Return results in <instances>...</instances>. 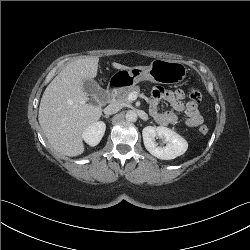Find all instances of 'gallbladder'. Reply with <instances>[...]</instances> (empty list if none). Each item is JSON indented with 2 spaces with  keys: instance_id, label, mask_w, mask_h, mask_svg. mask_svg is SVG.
<instances>
[{
  "instance_id": "bac80fb5",
  "label": "gallbladder",
  "mask_w": 250,
  "mask_h": 250,
  "mask_svg": "<svg viewBox=\"0 0 250 250\" xmlns=\"http://www.w3.org/2000/svg\"><path fill=\"white\" fill-rule=\"evenodd\" d=\"M83 90L86 94L93 96V95H98L100 93H103V90L101 89V87L97 84V82H95L92 79H87L84 81L83 83ZM91 102L93 104H96L95 100L92 99Z\"/></svg>"
}]
</instances>
